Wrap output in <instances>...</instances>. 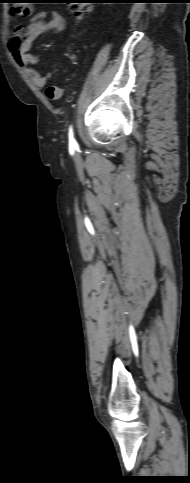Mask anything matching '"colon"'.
<instances>
[{"label": "colon", "instance_id": "colon-1", "mask_svg": "<svg viewBox=\"0 0 190 483\" xmlns=\"http://www.w3.org/2000/svg\"><path fill=\"white\" fill-rule=\"evenodd\" d=\"M10 13L15 17H28L33 12L34 0H14L12 2ZM84 0H74L71 4V9L74 14L78 16L84 15L89 8Z\"/></svg>", "mask_w": 190, "mask_h": 483}]
</instances>
